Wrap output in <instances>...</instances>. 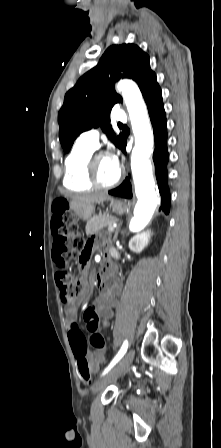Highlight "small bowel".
<instances>
[{
	"mask_svg": "<svg viewBox=\"0 0 221 448\" xmlns=\"http://www.w3.org/2000/svg\"><path fill=\"white\" fill-rule=\"evenodd\" d=\"M55 215H56V209L54 208L53 214H52V219L55 217ZM51 227H52V234H53V251H54L57 231L52 226V220H51ZM100 244H101V241L99 239L91 238L88 241L87 245H88L89 249L92 250ZM80 266L83 271H86L85 263L80 262ZM81 283L83 285V288L86 289L87 281H86L85 277L81 278ZM119 291H120L119 283H114L111 286L108 284L105 287H101V292L93 303V309L95 310V312L97 313L98 318H99L98 332L107 326L108 320L112 317L113 308L117 305V300H116L115 296ZM77 305H78V302H75L73 305L67 307V309H66V315L68 317V324L70 325V327L72 325V321L74 320V318L77 315ZM70 327H69V331H70ZM81 336L83 338H85V336L83 335L82 332H81ZM68 338H69V332H68ZM69 342H70V339H69ZM70 346H71L73 355L75 357L74 349L71 345V342H70ZM106 352H107V348L105 346L104 348H98V349H95L92 353L86 354V358L88 359L93 370L97 371L99 369L100 365L102 363H104V361L106 359Z\"/></svg>",
	"mask_w": 221,
	"mask_h": 448,
	"instance_id": "1",
	"label": "small bowel"
}]
</instances>
